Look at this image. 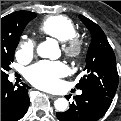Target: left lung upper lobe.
<instances>
[{
	"instance_id": "5c2ea615",
	"label": "left lung upper lobe",
	"mask_w": 121,
	"mask_h": 121,
	"mask_svg": "<svg viewBox=\"0 0 121 121\" xmlns=\"http://www.w3.org/2000/svg\"><path fill=\"white\" fill-rule=\"evenodd\" d=\"M79 18L91 32L92 42L86 57V74L76 87L114 98L119 79L114 52L97 24L82 15Z\"/></svg>"
}]
</instances>
